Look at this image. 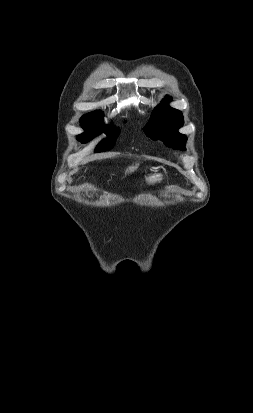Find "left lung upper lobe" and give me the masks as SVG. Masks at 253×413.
<instances>
[{"instance_id": "left-lung-upper-lobe-1", "label": "left lung upper lobe", "mask_w": 253, "mask_h": 413, "mask_svg": "<svg viewBox=\"0 0 253 413\" xmlns=\"http://www.w3.org/2000/svg\"><path fill=\"white\" fill-rule=\"evenodd\" d=\"M170 101L171 97H165L161 105L152 111L149 123L144 127V132L154 140L163 139L169 147L185 150L187 137L178 132V129L184 124L182 113L167 106Z\"/></svg>"}]
</instances>
